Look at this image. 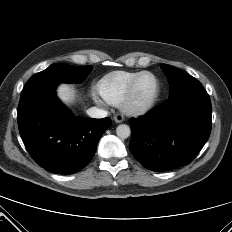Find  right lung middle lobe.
<instances>
[{
    "label": "right lung middle lobe",
    "instance_id": "obj_1",
    "mask_svg": "<svg viewBox=\"0 0 232 232\" xmlns=\"http://www.w3.org/2000/svg\"><path fill=\"white\" fill-rule=\"evenodd\" d=\"M90 70L91 66L76 67L61 63L53 64L46 70L33 75L26 83L21 95L46 85H54L60 82H80Z\"/></svg>",
    "mask_w": 232,
    "mask_h": 232
}]
</instances>
